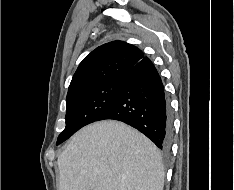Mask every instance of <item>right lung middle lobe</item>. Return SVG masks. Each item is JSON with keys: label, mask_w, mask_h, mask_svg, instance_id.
Returning <instances> with one entry per match:
<instances>
[{"label": "right lung middle lobe", "mask_w": 234, "mask_h": 190, "mask_svg": "<svg viewBox=\"0 0 234 190\" xmlns=\"http://www.w3.org/2000/svg\"><path fill=\"white\" fill-rule=\"evenodd\" d=\"M123 79L113 80L93 88L73 93L66 99V127L56 145L64 142L76 131L98 119L113 105Z\"/></svg>", "instance_id": "1"}]
</instances>
